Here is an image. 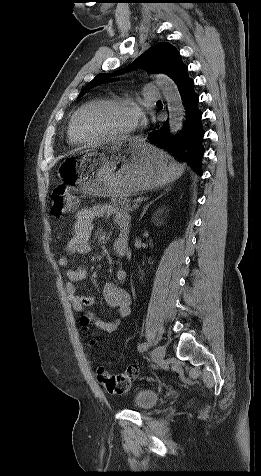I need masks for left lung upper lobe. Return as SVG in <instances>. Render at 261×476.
<instances>
[{"instance_id":"5c2ea615","label":"left lung upper lobe","mask_w":261,"mask_h":476,"mask_svg":"<svg viewBox=\"0 0 261 476\" xmlns=\"http://www.w3.org/2000/svg\"><path fill=\"white\" fill-rule=\"evenodd\" d=\"M185 67L187 66L182 63L179 52L172 45L159 42L137 58L128 68L120 69L109 74H98L82 91L91 89L100 83L110 81L112 77L133 68L150 69V71L157 72L161 71L168 74L175 81Z\"/></svg>"}]
</instances>
